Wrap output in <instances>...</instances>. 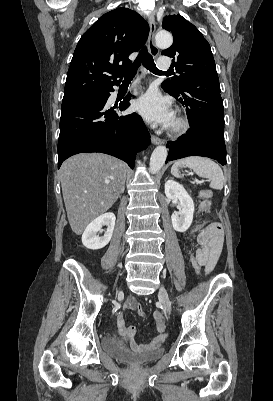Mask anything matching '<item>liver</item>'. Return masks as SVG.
I'll return each instance as SVG.
<instances>
[{"instance_id":"liver-1","label":"liver","mask_w":273,"mask_h":401,"mask_svg":"<svg viewBox=\"0 0 273 401\" xmlns=\"http://www.w3.org/2000/svg\"><path fill=\"white\" fill-rule=\"evenodd\" d=\"M127 164L101 152H81L63 162L61 186L73 233L82 235L87 225L106 213L124 192Z\"/></svg>"}]
</instances>
